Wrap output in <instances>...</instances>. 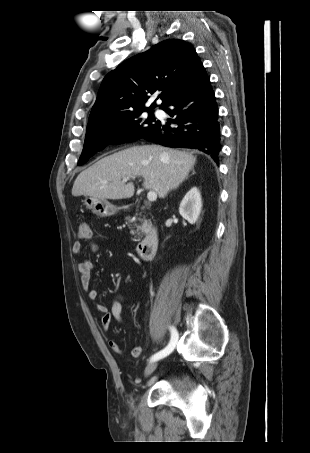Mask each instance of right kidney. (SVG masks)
I'll return each instance as SVG.
<instances>
[{
    "label": "right kidney",
    "instance_id": "ca27d5eb",
    "mask_svg": "<svg viewBox=\"0 0 310 453\" xmlns=\"http://www.w3.org/2000/svg\"><path fill=\"white\" fill-rule=\"evenodd\" d=\"M202 200L199 190L191 188L182 199L179 207L180 215L190 224H194L201 212Z\"/></svg>",
    "mask_w": 310,
    "mask_h": 453
}]
</instances>
